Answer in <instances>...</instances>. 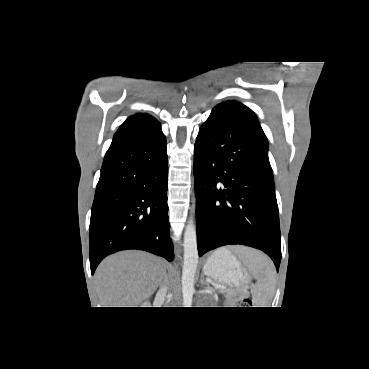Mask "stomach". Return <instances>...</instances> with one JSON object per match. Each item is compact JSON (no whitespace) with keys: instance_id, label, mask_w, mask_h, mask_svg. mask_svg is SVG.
I'll list each match as a JSON object with an SVG mask.
<instances>
[{"instance_id":"obj_1","label":"stomach","mask_w":369,"mask_h":369,"mask_svg":"<svg viewBox=\"0 0 369 369\" xmlns=\"http://www.w3.org/2000/svg\"><path fill=\"white\" fill-rule=\"evenodd\" d=\"M203 272L229 286H240L249 280L241 263L226 248L218 249L207 259Z\"/></svg>"}]
</instances>
